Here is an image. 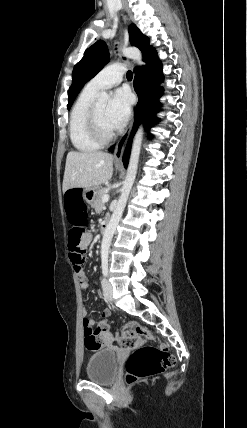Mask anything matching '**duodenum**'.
I'll return each mask as SVG.
<instances>
[{"label": "duodenum", "instance_id": "duodenum-1", "mask_svg": "<svg viewBox=\"0 0 247 428\" xmlns=\"http://www.w3.org/2000/svg\"><path fill=\"white\" fill-rule=\"evenodd\" d=\"M107 227H108V220H107V219H105V220L102 222V225H101V231H102V233H104V232L106 231Z\"/></svg>", "mask_w": 247, "mask_h": 428}]
</instances>
